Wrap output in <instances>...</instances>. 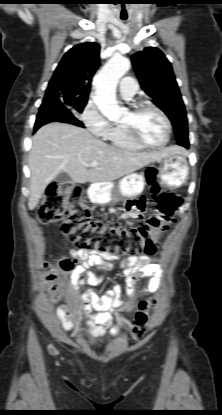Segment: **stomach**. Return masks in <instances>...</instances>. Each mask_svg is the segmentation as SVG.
Segmentation results:
<instances>
[{
    "label": "stomach",
    "instance_id": "stomach-1",
    "mask_svg": "<svg viewBox=\"0 0 222 415\" xmlns=\"http://www.w3.org/2000/svg\"><path fill=\"white\" fill-rule=\"evenodd\" d=\"M158 172L161 180L170 187H180L188 177V163L186 156L180 153L170 154L158 160ZM145 186L142 174L131 173L122 178L118 186L108 183H96L90 186L89 195L94 203L104 204L108 202L109 194H117L131 198L139 195ZM112 187V188H110Z\"/></svg>",
    "mask_w": 222,
    "mask_h": 415
}]
</instances>
